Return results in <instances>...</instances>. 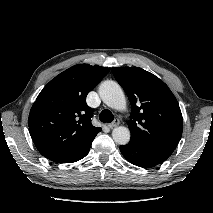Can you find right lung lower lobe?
<instances>
[{
	"mask_svg": "<svg viewBox=\"0 0 213 213\" xmlns=\"http://www.w3.org/2000/svg\"><path fill=\"white\" fill-rule=\"evenodd\" d=\"M93 140L89 141L83 147H81L77 150L69 151V152H62V153H52L45 157L47 159L57 162V163L76 162V161L84 158L88 154Z\"/></svg>",
	"mask_w": 213,
	"mask_h": 213,
	"instance_id": "1",
	"label": "right lung lower lobe"
}]
</instances>
